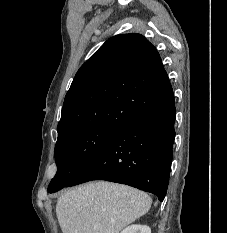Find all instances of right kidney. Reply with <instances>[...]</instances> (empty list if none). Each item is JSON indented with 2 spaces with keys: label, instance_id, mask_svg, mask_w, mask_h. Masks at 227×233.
Segmentation results:
<instances>
[{
  "label": "right kidney",
  "instance_id": "1",
  "mask_svg": "<svg viewBox=\"0 0 227 233\" xmlns=\"http://www.w3.org/2000/svg\"><path fill=\"white\" fill-rule=\"evenodd\" d=\"M121 233H151V228L146 225H131L125 228Z\"/></svg>",
  "mask_w": 227,
  "mask_h": 233
}]
</instances>
